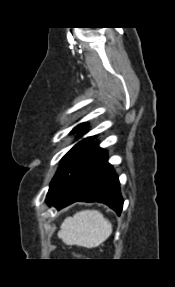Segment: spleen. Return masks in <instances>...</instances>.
<instances>
[{
  "label": "spleen",
  "instance_id": "1",
  "mask_svg": "<svg viewBox=\"0 0 175 287\" xmlns=\"http://www.w3.org/2000/svg\"><path fill=\"white\" fill-rule=\"evenodd\" d=\"M112 233V225L97 210H82L63 221L58 237L67 245L97 247Z\"/></svg>",
  "mask_w": 175,
  "mask_h": 287
}]
</instances>
